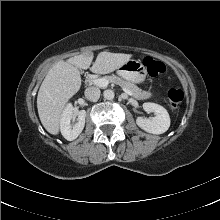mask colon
<instances>
[{
	"instance_id": "colon-1",
	"label": "colon",
	"mask_w": 220,
	"mask_h": 220,
	"mask_svg": "<svg viewBox=\"0 0 220 220\" xmlns=\"http://www.w3.org/2000/svg\"><path fill=\"white\" fill-rule=\"evenodd\" d=\"M143 64L148 74L152 77L158 76L165 71V65L160 60L151 56L144 57ZM167 97L170 106L176 109L181 105L184 99V93L181 89L172 88L168 91Z\"/></svg>"
}]
</instances>
